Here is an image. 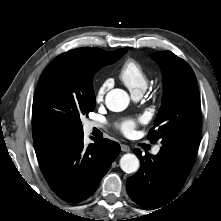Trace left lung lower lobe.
Returning <instances> with one entry per match:
<instances>
[{
	"label": "left lung lower lobe",
	"mask_w": 221,
	"mask_h": 221,
	"mask_svg": "<svg viewBox=\"0 0 221 221\" xmlns=\"http://www.w3.org/2000/svg\"><path fill=\"white\" fill-rule=\"evenodd\" d=\"M138 172L127 180L131 199L145 208H158L172 200L185 183L195 159V151L177 145H162L157 155L142 156Z\"/></svg>",
	"instance_id": "0a47b994"
}]
</instances>
